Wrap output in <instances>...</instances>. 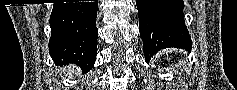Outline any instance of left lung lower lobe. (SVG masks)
Here are the masks:
<instances>
[{
    "label": "left lung lower lobe",
    "mask_w": 237,
    "mask_h": 90,
    "mask_svg": "<svg viewBox=\"0 0 237 90\" xmlns=\"http://www.w3.org/2000/svg\"><path fill=\"white\" fill-rule=\"evenodd\" d=\"M136 4L146 61L167 47L191 50L182 0H136Z\"/></svg>",
    "instance_id": "obj_1"
}]
</instances>
